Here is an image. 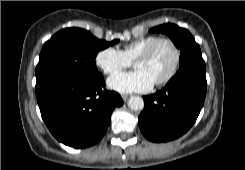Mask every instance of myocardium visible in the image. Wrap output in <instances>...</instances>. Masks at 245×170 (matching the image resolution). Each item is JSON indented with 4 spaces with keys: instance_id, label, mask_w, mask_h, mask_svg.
Segmentation results:
<instances>
[{
    "instance_id": "1",
    "label": "myocardium",
    "mask_w": 245,
    "mask_h": 170,
    "mask_svg": "<svg viewBox=\"0 0 245 170\" xmlns=\"http://www.w3.org/2000/svg\"><path fill=\"white\" fill-rule=\"evenodd\" d=\"M163 42L168 43L172 47V50L174 52V63L172 65V68L170 69V71L168 72V74L164 78L154 82V84L157 86L165 85L168 82H170L178 71V68H179V65L181 62V51H180L179 47L177 46V44L169 37H159V38L155 39L151 44H149L143 51H141L137 55V57L134 59V64L138 60L147 59L148 57L151 56L155 47L158 44L163 43Z\"/></svg>"
}]
</instances>
